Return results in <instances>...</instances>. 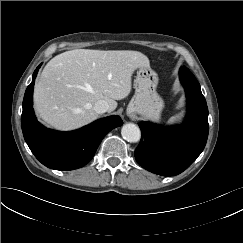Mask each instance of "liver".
Returning a JSON list of instances; mask_svg holds the SVG:
<instances>
[{
    "label": "liver",
    "mask_w": 243,
    "mask_h": 243,
    "mask_svg": "<svg viewBox=\"0 0 243 243\" xmlns=\"http://www.w3.org/2000/svg\"><path fill=\"white\" fill-rule=\"evenodd\" d=\"M149 65L146 55L131 50L75 49L52 58L34 89V107L49 126L69 131L97 119L94 104L105 100L109 112L131 92L132 74Z\"/></svg>",
    "instance_id": "obj_1"
}]
</instances>
